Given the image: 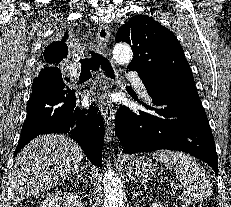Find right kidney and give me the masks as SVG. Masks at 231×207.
Wrapping results in <instances>:
<instances>
[{
	"instance_id": "right-kidney-1",
	"label": "right kidney",
	"mask_w": 231,
	"mask_h": 207,
	"mask_svg": "<svg viewBox=\"0 0 231 207\" xmlns=\"http://www.w3.org/2000/svg\"><path fill=\"white\" fill-rule=\"evenodd\" d=\"M40 207H83V205L76 193L60 190L49 194L41 202Z\"/></svg>"
}]
</instances>
